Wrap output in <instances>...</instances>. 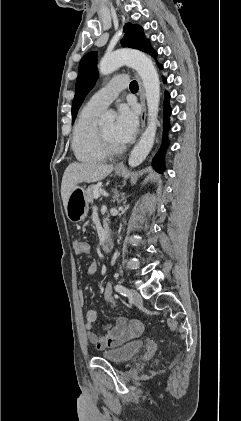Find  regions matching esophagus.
<instances>
[{
	"mask_svg": "<svg viewBox=\"0 0 241 421\" xmlns=\"http://www.w3.org/2000/svg\"><path fill=\"white\" fill-rule=\"evenodd\" d=\"M134 75L138 81L139 84V96H140V102H141V106H142V113H141V132L143 131L144 127H145V120H146V105H145V96H144V88H143V84L141 82L140 77L138 76V74L136 72H134ZM124 167V162L121 161L120 163H118L116 165V168L121 169Z\"/></svg>",
	"mask_w": 241,
	"mask_h": 421,
	"instance_id": "obj_1",
	"label": "esophagus"
}]
</instances>
